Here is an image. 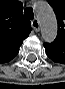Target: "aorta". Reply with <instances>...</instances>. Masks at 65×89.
<instances>
[{
	"label": "aorta",
	"instance_id": "1",
	"mask_svg": "<svg viewBox=\"0 0 65 89\" xmlns=\"http://www.w3.org/2000/svg\"><path fill=\"white\" fill-rule=\"evenodd\" d=\"M36 13L41 26L42 38L45 42H52L57 35V21L52 7L46 2H39Z\"/></svg>",
	"mask_w": 65,
	"mask_h": 89
}]
</instances>
